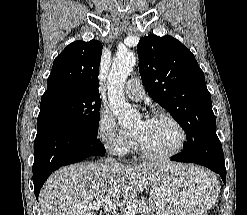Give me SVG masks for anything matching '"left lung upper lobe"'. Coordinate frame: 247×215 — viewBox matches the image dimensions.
Segmentation results:
<instances>
[{
	"label": "left lung upper lobe",
	"instance_id": "5c2ea615",
	"mask_svg": "<svg viewBox=\"0 0 247 215\" xmlns=\"http://www.w3.org/2000/svg\"><path fill=\"white\" fill-rule=\"evenodd\" d=\"M137 53L148 94L186 133L183 150H194L195 139L217 136L211 94L193 53L171 36L156 35L141 38Z\"/></svg>",
	"mask_w": 247,
	"mask_h": 215
}]
</instances>
